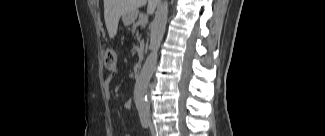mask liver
<instances>
[{
  "instance_id": "1",
  "label": "liver",
  "mask_w": 325,
  "mask_h": 136,
  "mask_svg": "<svg viewBox=\"0 0 325 136\" xmlns=\"http://www.w3.org/2000/svg\"><path fill=\"white\" fill-rule=\"evenodd\" d=\"M146 3L147 0H104V19L109 38L115 37L121 16L130 13L138 14V8ZM155 3L148 0V12L154 10Z\"/></svg>"
}]
</instances>
